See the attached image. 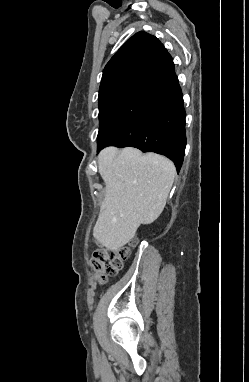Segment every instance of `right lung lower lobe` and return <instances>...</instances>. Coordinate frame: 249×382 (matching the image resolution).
Segmentation results:
<instances>
[{
	"mask_svg": "<svg viewBox=\"0 0 249 382\" xmlns=\"http://www.w3.org/2000/svg\"><path fill=\"white\" fill-rule=\"evenodd\" d=\"M185 110L178 81L150 102L122 132L98 147L132 146L170 158L179 172L186 146Z\"/></svg>",
	"mask_w": 249,
	"mask_h": 382,
	"instance_id": "right-lung-lower-lobe-1",
	"label": "right lung lower lobe"
}]
</instances>
